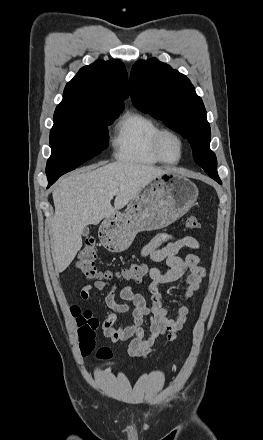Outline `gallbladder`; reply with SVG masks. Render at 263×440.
Instances as JSON below:
<instances>
[{"label": "gallbladder", "mask_w": 263, "mask_h": 440, "mask_svg": "<svg viewBox=\"0 0 263 440\" xmlns=\"http://www.w3.org/2000/svg\"><path fill=\"white\" fill-rule=\"evenodd\" d=\"M89 234V228L88 227H85L84 229H83V231H82V235L83 236H87Z\"/></svg>", "instance_id": "1"}]
</instances>
